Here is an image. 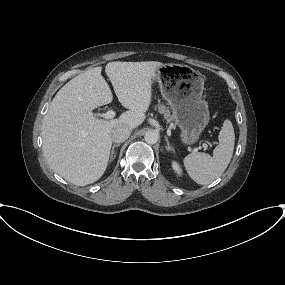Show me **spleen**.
I'll use <instances>...</instances> for the list:
<instances>
[{
    "label": "spleen",
    "mask_w": 285,
    "mask_h": 285,
    "mask_svg": "<svg viewBox=\"0 0 285 285\" xmlns=\"http://www.w3.org/2000/svg\"><path fill=\"white\" fill-rule=\"evenodd\" d=\"M219 144L213 151V156L206 153H191L183 162L189 176L200 185H208L220 177L231 161L235 134L230 120L226 119L219 132Z\"/></svg>",
    "instance_id": "spleen-1"
}]
</instances>
